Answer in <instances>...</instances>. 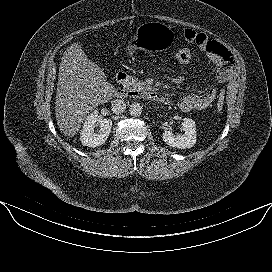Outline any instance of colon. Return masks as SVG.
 Returning <instances> with one entry per match:
<instances>
[{
	"mask_svg": "<svg viewBox=\"0 0 272 272\" xmlns=\"http://www.w3.org/2000/svg\"><path fill=\"white\" fill-rule=\"evenodd\" d=\"M173 59L177 63L187 64L192 61L193 52L188 48H178L173 52ZM224 98H225V90H222L216 104V109L218 111H221L224 107Z\"/></svg>",
	"mask_w": 272,
	"mask_h": 272,
	"instance_id": "obj_1",
	"label": "colon"
}]
</instances>
